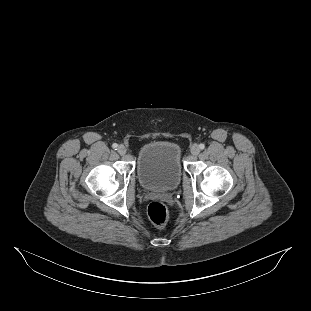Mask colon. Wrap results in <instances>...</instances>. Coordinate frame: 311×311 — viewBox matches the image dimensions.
<instances>
[{
    "label": "colon",
    "instance_id": "obj_1",
    "mask_svg": "<svg viewBox=\"0 0 311 311\" xmlns=\"http://www.w3.org/2000/svg\"><path fill=\"white\" fill-rule=\"evenodd\" d=\"M148 215L150 220L159 227H163L169 220V212L167 207L161 202H152L148 207Z\"/></svg>",
    "mask_w": 311,
    "mask_h": 311
}]
</instances>
